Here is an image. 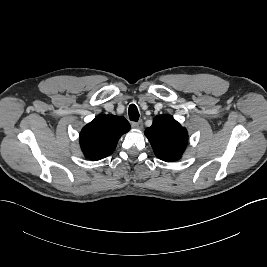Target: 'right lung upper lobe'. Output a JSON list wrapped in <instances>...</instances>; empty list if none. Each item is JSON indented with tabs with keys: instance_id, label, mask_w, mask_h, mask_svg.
Wrapping results in <instances>:
<instances>
[{
	"instance_id": "right-lung-upper-lobe-1",
	"label": "right lung upper lobe",
	"mask_w": 267,
	"mask_h": 267,
	"mask_svg": "<svg viewBox=\"0 0 267 267\" xmlns=\"http://www.w3.org/2000/svg\"><path fill=\"white\" fill-rule=\"evenodd\" d=\"M130 130L124 117L98 115L80 133V146L84 156L96 161L111 155L120 137Z\"/></svg>"
}]
</instances>
